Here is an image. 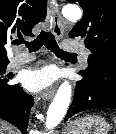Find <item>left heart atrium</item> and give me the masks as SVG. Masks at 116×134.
Returning a JSON list of instances; mask_svg holds the SVG:
<instances>
[{"label":"left heart atrium","instance_id":"1","mask_svg":"<svg viewBox=\"0 0 116 134\" xmlns=\"http://www.w3.org/2000/svg\"><path fill=\"white\" fill-rule=\"evenodd\" d=\"M56 79V73L51 68L28 71L23 78L24 87L31 92H39L49 87Z\"/></svg>","mask_w":116,"mask_h":134}]
</instances>
